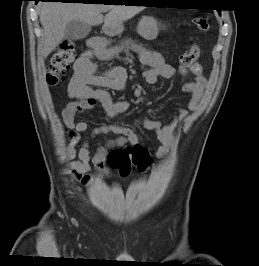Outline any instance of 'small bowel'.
<instances>
[{
	"label": "small bowel",
	"mask_w": 259,
	"mask_h": 266,
	"mask_svg": "<svg viewBox=\"0 0 259 266\" xmlns=\"http://www.w3.org/2000/svg\"><path fill=\"white\" fill-rule=\"evenodd\" d=\"M124 47H108L101 38H94L90 42V50L83 53L74 64V74L68 85V93L71 101L62 111L64 124L73 129L71 142L67 148V157L77 160L71 163L73 173L83 184L89 182L90 177L87 173L93 167L99 176L107 178L110 175V166L107 159L111 151L110 148H122L125 144H139L137 133L129 127L116 124H104L94 128L91 136L114 133L118 137L111 140L104 146L99 147L91 157L89 143H82L79 150L75 146L81 141L82 133L88 130L86 122H76L75 117L78 113L92 109L96 104H100L105 115L112 118L128 108V103L124 100H114L106 89L121 90L124 88L127 73L122 67H113L105 73H97L96 59H105L110 55L120 52ZM131 49L137 52L139 59L147 69L143 72V77L148 84H155L158 78L170 79L176 69L166 63L161 53L143 47L132 45ZM178 72L186 75L190 72L193 79L183 86V91L190 95L186 107H179L175 110L172 120L169 123L143 119V126L155 133L161 145L155 153L156 158H163L174 147V132L178 123L184 121L189 111L197 109L206 89L207 80L203 73V68L199 63L191 66L180 65ZM97 87V88H94Z\"/></svg>",
	"instance_id": "obj_1"
}]
</instances>
